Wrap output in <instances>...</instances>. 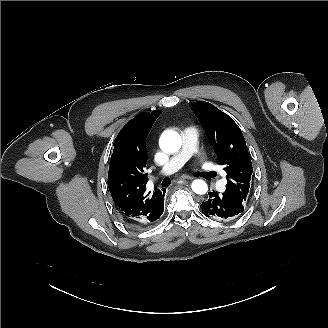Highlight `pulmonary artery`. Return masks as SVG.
<instances>
[{
	"label": "pulmonary artery",
	"mask_w": 328,
	"mask_h": 328,
	"mask_svg": "<svg viewBox=\"0 0 328 328\" xmlns=\"http://www.w3.org/2000/svg\"><path fill=\"white\" fill-rule=\"evenodd\" d=\"M183 137L182 150L178 151L172 156L168 162L163 166L162 173L167 175L174 172L176 169H183L189 160L195 154V147L200 144V137L196 129L192 127H185L181 131Z\"/></svg>",
	"instance_id": "obj_1"
}]
</instances>
